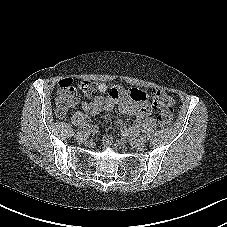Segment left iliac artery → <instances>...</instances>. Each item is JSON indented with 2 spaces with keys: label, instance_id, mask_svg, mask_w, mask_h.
Segmentation results:
<instances>
[{
  "label": "left iliac artery",
  "instance_id": "obj_1",
  "mask_svg": "<svg viewBox=\"0 0 227 227\" xmlns=\"http://www.w3.org/2000/svg\"><path fill=\"white\" fill-rule=\"evenodd\" d=\"M141 139H143L144 141H147V140H149V136L146 135V134H143V135L141 136Z\"/></svg>",
  "mask_w": 227,
  "mask_h": 227
}]
</instances>
